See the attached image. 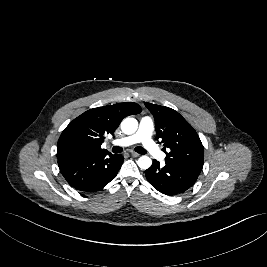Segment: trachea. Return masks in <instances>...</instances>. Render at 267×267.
<instances>
[{"label":"trachea","mask_w":267,"mask_h":267,"mask_svg":"<svg viewBox=\"0 0 267 267\" xmlns=\"http://www.w3.org/2000/svg\"><path fill=\"white\" fill-rule=\"evenodd\" d=\"M122 150L123 149L121 147H118V146H114L112 148L113 153H120V152H122ZM135 151L137 153H139V154H146V150L143 147H140V146L136 147Z\"/></svg>","instance_id":"1"}]
</instances>
